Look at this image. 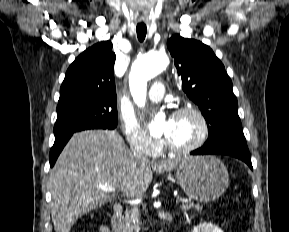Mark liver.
I'll return each instance as SVG.
<instances>
[{
    "label": "liver",
    "instance_id": "1",
    "mask_svg": "<svg viewBox=\"0 0 289 232\" xmlns=\"http://www.w3.org/2000/svg\"><path fill=\"white\" fill-rule=\"evenodd\" d=\"M181 159L143 162L126 147L116 131L87 130L75 133L50 172L51 216L55 232H69L85 213L113 201L120 192L127 198L143 194L153 171L175 169ZM98 184L117 189L109 195Z\"/></svg>",
    "mask_w": 289,
    "mask_h": 232
}]
</instances>
